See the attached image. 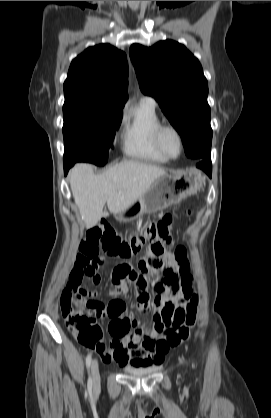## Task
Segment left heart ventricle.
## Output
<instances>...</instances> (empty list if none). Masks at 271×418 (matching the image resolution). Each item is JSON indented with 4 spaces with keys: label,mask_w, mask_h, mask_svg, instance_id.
I'll return each mask as SVG.
<instances>
[{
    "label": "left heart ventricle",
    "mask_w": 271,
    "mask_h": 418,
    "mask_svg": "<svg viewBox=\"0 0 271 418\" xmlns=\"http://www.w3.org/2000/svg\"><path fill=\"white\" fill-rule=\"evenodd\" d=\"M162 144L166 152L170 155H176L178 152V141L172 132H165L162 136Z\"/></svg>",
    "instance_id": "left-heart-ventricle-1"
}]
</instances>
